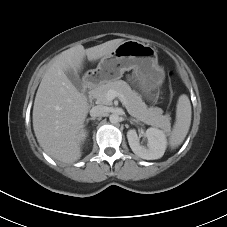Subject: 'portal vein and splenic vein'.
Here are the masks:
<instances>
[{"mask_svg":"<svg viewBox=\"0 0 227 227\" xmlns=\"http://www.w3.org/2000/svg\"><path fill=\"white\" fill-rule=\"evenodd\" d=\"M106 97H107V99L109 101H112L113 99H115L116 97H118L119 100L121 101V103L123 105H126V99H125L124 95L121 94V93H119V92H117V91H115V90H109L107 92V94H106Z\"/></svg>","mask_w":227,"mask_h":227,"instance_id":"portal-vein-and-splenic-vein-1","label":"portal vein and splenic vein"}]
</instances>
